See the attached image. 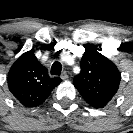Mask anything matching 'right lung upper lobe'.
<instances>
[{
  "mask_svg": "<svg viewBox=\"0 0 133 133\" xmlns=\"http://www.w3.org/2000/svg\"><path fill=\"white\" fill-rule=\"evenodd\" d=\"M8 87L14 97L25 107L42 104L51 91L62 81L50 77L32 51L23 53L8 73Z\"/></svg>",
  "mask_w": 133,
  "mask_h": 133,
  "instance_id": "cb5924a9",
  "label": "right lung upper lobe"
}]
</instances>
